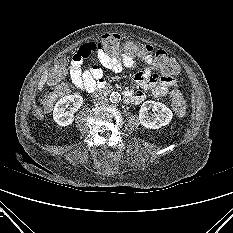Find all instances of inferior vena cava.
<instances>
[{"mask_svg":"<svg viewBox=\"0 0 233 233\" xmlns=\"http://www.w3.org/2000/svg\"><path fill=\"white\" fill-rule=\"evenodd\" d=\"M95 104L97 105H103L107 102V99L105 97H101V96H96V99H95Z\"/></svg>","mask_w":233,"mask_h":233,"instance_id":"obj_1","label":"inferior vena cava"}]
</instances>
